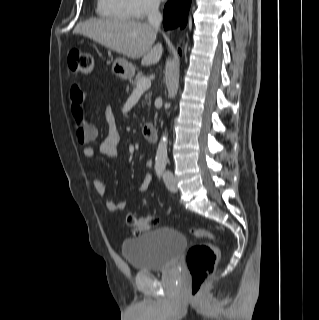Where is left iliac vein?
Instances as JSON below:
<instances>
[{"instance_id": "4c4485c4", "label": "left iliac vein", "mask_w": 319, "mask_h": 320, "mask_svg": "<svg viewBox=\"0 0 319 320\" xmlns=\"http://www.w3.org/2000/svg\"><path fill=\"white\" fill-rule=\"evenodd\" d=\"M164 180H165V184H166L167 188L171 192H177L178 191V187L176 185V182H175L174 178L169 177V176L166 175Z\"/></svg>"}]
</instances>
